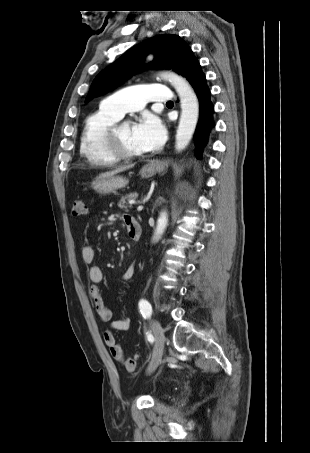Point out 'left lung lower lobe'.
Masks as SVG:
<instances>
[{
  "label": "left lung lower lobe",
  "mask_w": 310,
  "mask_h": 453,
  "mask_svg": "<svg viewBox=\"0 0 310 453\" xmlns=\"http://www.w3.org/2000/svg\"><path fill=\"white\" fill-rule=\"evenodd\" d=\"M184 76L195 89L200 104V119L195 134L194 154L197 158H202V152L208 141V135L214 127L212 115L214 106L210 101V91L207 88L206 78L200 64L192 54L182 70Z\"/></svg>",
  "instance_id": "1"
}]
</instances>
